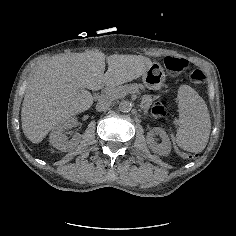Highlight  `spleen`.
I'll list each match as a JSON object with an SVG mask.
<instances>
[{
	"label": "spleen",
	"mask_w": 236,
	"mask_h": 236,
	"mask_svg": "<svg viewBox=\"0 0 236 236\" xmlns=\"http://www.w3.org/2000/svg\"><path fill=\"white\" fill-rule=\"evenodd\" d=\"M178 146L192 153L202 152L209 140L211 120L207 105L202 97L189 86L179 90Z\"/></svg>",
	"instance_id": "3e777b00"
}]
</instances>
